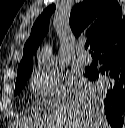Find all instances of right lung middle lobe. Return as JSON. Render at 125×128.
<instances>
[{
    "label": "right lung middle lobe",
    "mask_w": 125,
    "mask_h": 128,
    "mask_svg": "<svg viewBox=\"0 0 125 128\" xmlns=\"http://www.w3.org/2000/svg\"><path fill=\"white\" fill-rule=\"evenodd\" d=\"M31 71H32V66H29L26 69L17 72V79H16L15 92H14L15 95L19 94L21 90L24 88ZM104 80L105 79L103 77H100L99 79H96L93 82H96V84L99 85V83L103 82Z\"/></svg>",
    "instance_id": "dd1d6c3e"
}]
</instances>
